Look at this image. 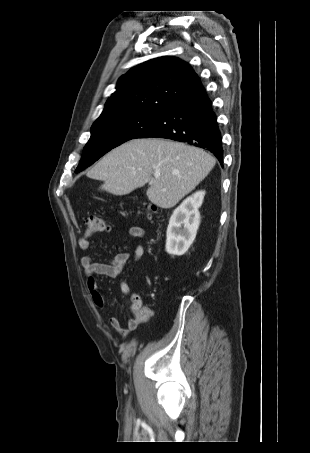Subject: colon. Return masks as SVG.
<instances>
[{
	"label": "colon",
	"mask_w": 310,
	"mask_h": 453,
	"mask_svg": "<svg viewBox=\"0 0 310 453\" xmlns=\"http://www.w3.org/2000/svg\"><path fill=\"white\" fill-rule=\"evenodd\" d=\"M144 210L147 212L148 217L151 218L152 215L156 212V207L153 204H145ZM107 229L108 226L106 220L102 216L93 215L87 221V235L104 232ZM132 304L137 316L143 318L149 315L147 307L140 306L137 300H133Z\"/></svg>",
	"instance_id": "5ec220e1"
}]
</instances>
